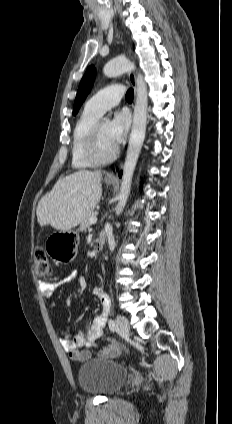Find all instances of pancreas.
Here are the masks:
<instances>
[{
	"mask_svg": "<svg viewBox=\"0 0 232 424\" xmlns=\"http://www.w3.org/2000/svg\"><path fill=\"white\" fill-rule=\"evenodd\" d=\"M96 215H95V213H91V214H89L82 222H81V225H80V228H79V230L81 231V232H86L87 231V229L90 227V218L91 217H95Z\"/></svg>",
	"mask_w": 232,
	"mask_h": 424,
	"instance_id": "1",
	"label": "pancreas"
}]
</instances>
